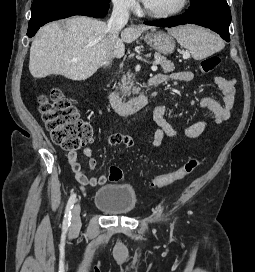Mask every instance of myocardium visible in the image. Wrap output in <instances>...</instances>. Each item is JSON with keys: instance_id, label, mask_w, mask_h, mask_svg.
<instances>
[{"instance_id": "obj_1", "label": "myocardium", "mask_w": 255, "mask_h": 272, "mask_svg": "<svg viewBox=\"0 0 255 272\" xmlns=\"http://www.w3.org/2000/svg\"><path fill=\"white\" fill-rule=\"evenodd\" d=\"M188 4L189 0H181L180 4L176 8L164 12H152L146 7L145 4L144 12L146 15L152 18H169L180 14L182 11L186 9Z\"/></svg>"}]
</instances>
